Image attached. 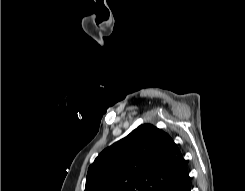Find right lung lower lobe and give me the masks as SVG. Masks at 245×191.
I'll use <instances>...</instances> for the list:
<instances>
[{
  "instance_id": "obj_1",
  "label": "right lung lower lobe",
  "mask_w": 245,
  "mask_h": 191,
  "mask_svg": "<svg viewBox=\"0 0 245 191\" xmlns=\"http://www.w3.org/2000/svg\"><path fill=\"white\" fill-rule=\"evenodd\" d=\"M161 191H191L188 173L177 181L163 188Z\"/></svg>"
}]
</instances>
